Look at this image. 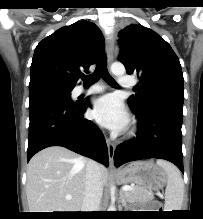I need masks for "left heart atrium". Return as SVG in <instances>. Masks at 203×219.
Here are the masks:
<instances>
[{
  "label": "left heart atrium",
  "instance_id": "39dd6f15",
  "mask_svg": "<svg viewBox=\"0 0 203 219\" xmlns=\"http://www.w3.org/2000/svg\"><path fill=\"white\" fill-rule=\"evenodd\" d=\"M92 115L100 124L116 131L123 130L129 121L121 100L112 94L95 101Z\"/></svg>",
  "mask_w": 203,
  "mask_h": 219
}]
</instances>
